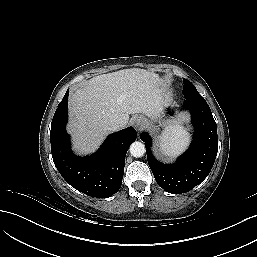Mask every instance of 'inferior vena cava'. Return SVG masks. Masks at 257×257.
<instances>
[{"instance_id":"1","label":"inferior vena cava","mask_w":257,"mask_h":257,"mask_svg":"<svg viewBox=\"0 0 257 257\" xmlns=\"http://www.w3.org/2000/svg\"><path fill=\"white\" fill-rule=\"evenodd\" d=\"M123 128V124L122 123H113L108 127L109 131H116Z\"/></svg>"}]
</instances>
